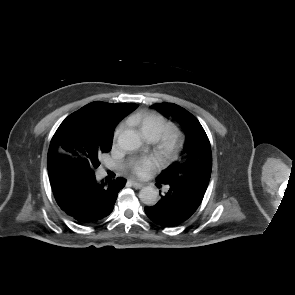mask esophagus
Returning <instances> with one entry per match:
<instances>
[{"instance_id": "1", "label": "esophagus", "mask_w": 295, "mask_h": 295, "mask_svg": "<svg viewBox=\"0 0 295 295\" xmlns=\"http://www.w3.org/2000/svg\"><path fill=\"white\" fill-rule=\"evenodd\" d=\"M131 183H132L133 187L136 188V189H140V188L143 187V184L142 183L137 182L135 180H131Z\"/></svg>"}]
</instances>
